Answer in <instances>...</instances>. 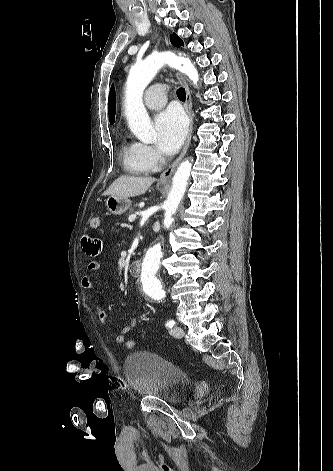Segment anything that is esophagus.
I'll list each match as a JSON object with an SVG mask.
<instances>
[{"mask_svg":"<svg viewBox=\"0 0 333 471\" xmlns=\"http://www.w3.org/2000/svg\"><path fill=\"white\" fill-rule=\"evenodd\" d=\"M164 41H165V44L166 46H169V37L167 35L166 32H164ZM176 77L177 79L179 80L180 84L185 88V92H186V102H185V109H186V112L189 116V130H188V135H187V138H186V141H185V144H184V147L180 153V155L177 157V159L171 164V166H169L160 176V181L161 182H166L169 180V178L171 177L172 173L174 172L175 168L177 167V165L179 164V162L183 159V157L185 156L188 148H189V145H190V141H191V137H192V132H193V124H194V120H193V114H192V99H191V93H190V89H189V86L185 80V78L183 77L182 74H180L179 72L176 73Z\"/></svg>","mask_w":333,"mask_h":471,"instance_id":"34e87169","label":"esophagus"}]
</instances>
